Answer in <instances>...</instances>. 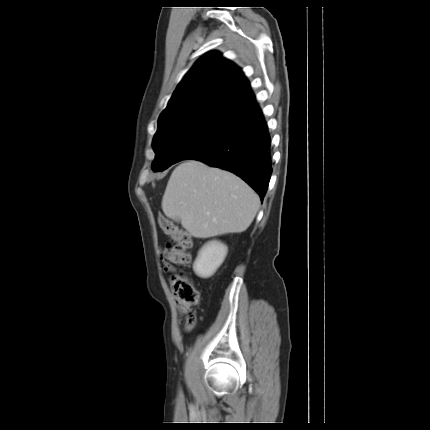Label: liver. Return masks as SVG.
Wrapping results in <instances>:
<instances>
[{
    "mask_svg": "<svg viewBox=\"0 0 430 430\" xmlns=\"http://www.w3.org/2000/svg\"><path fill=\"white\" fill-rule=\"evenodd\" d=\"M260 199L232 172L198 160L178 165L162 198V210L196 238L244 232L252 223Z\"/></svg>",
    "mask_w": 430,
    "mask_h": 430,
    "instance_id": "6515ba94",
    "label": "liver"
}]
</instances>
